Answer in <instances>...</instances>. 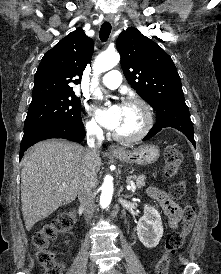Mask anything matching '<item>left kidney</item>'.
Instances as JSON below:
<instances>
[{
    "label": "left kidney",
    "mask_w": 221,
    "mask_h": 274,
    "mask_svg": "<svg viewBox=\"0 0 221 274\" xmlns=\"http://www.w3.org/2000/svg\"><path fill=\"white\" fill-rule=\"evenodd\" d=\"M137 235L146 248H154L163 236L160 213L149 205H144V215L137 224Z\"/></svg>",
    "instance_id": "obj_1"
}]
</instances>
